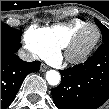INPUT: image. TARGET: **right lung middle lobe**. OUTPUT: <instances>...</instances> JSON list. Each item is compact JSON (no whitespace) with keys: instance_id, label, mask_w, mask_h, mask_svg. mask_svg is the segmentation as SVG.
I'll return each instance as SVG.
<instances>
[{"instance_id":"dd1d6c3e","label":"right lung middle lobe","mask_w":109,"mask_h":109,"mask_svg":"<svg viewBox=\"0 0 109 109\" xmlns=\"http://www.w3.org/2000/svg\"><path fill=\"white\" fill-rule=\"evenodd\" d=\"M21 33V30H17L1 22V36L6 37L15 42H20Z\"/></svg>"}]
</instances>
